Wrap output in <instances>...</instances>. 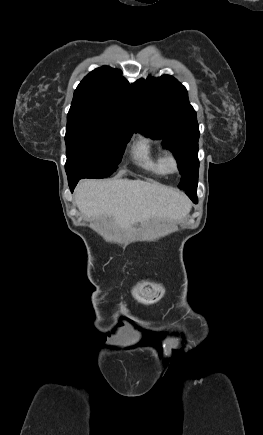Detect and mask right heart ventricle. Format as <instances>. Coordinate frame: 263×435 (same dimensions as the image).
<instances>
[{"label":"right heart ventricle","instance_id":"right-heart-ventricle-1","mask_svg":"<svg viewBox=\"0 0 263 435\" xmlns=\"http://www.w3.org/2000/svg\"><path fill=\"white\" fill-rule=\"evenodd\" d=\"M135 163L147 172L157 176H164L169 171L165 164V155L148 138L136 142L132 149Z\"/></svg>","mask_w":263,"mask_h":435}]
</instances>
